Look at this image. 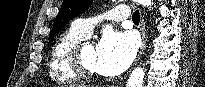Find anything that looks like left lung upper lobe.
Instances as JSON below:
<instances>
[{
	"mask_svg": "<svg viewBox=\"0 0 205 87\" xmlns=\"http://www.w3.org/2000/svg\"><path fill=\"white\" fill-rule=\"evenodd\" d=\"M93 0H63L61 9L54 21L49 39L52 38L67 22L86 11Z\"/></svg>",
	"mask_w": 205,
	"mask_h": 87,
	"instance_id": "obj_1",
	"label": "left lung upper lobe"
}]
</instances>
